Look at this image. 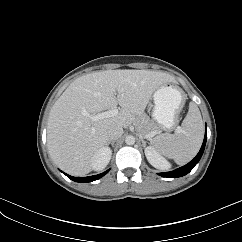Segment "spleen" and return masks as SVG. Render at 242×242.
Here are the masks:
<instances>
[{
  "label": "spleen",
  "instance_id": "spleen-1",
  "mask_svg": "<svg viewBox=\"0 0 242 242\" xmlns=\"http://www.w3.org/2000/svg\"><path fill=\"white\" fill-rule=\"evenodd\" d=\"M204 137V124L197 105L189 104V110L182 122L181 132L164 133L154 138L152 146L162 155L184 165L198 153Z\"/></svg>",
  "mask_w": 242,
  "mask_h": 242
}]
</instances>
